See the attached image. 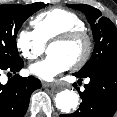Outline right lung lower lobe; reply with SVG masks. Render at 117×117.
<instances>
[{
	"mask_svg": "<svg viewBox=\"0 0 117 117\" xmlns=\"http://www.w3.org/2000/svg\"><path fill=\"white\" fill-rule=\"evenodd\" d=\"M23 65L22 59L13 63L0 64V70L15 74L5 85L0 83V117H23L32 92L41 87L39 79L32 76L23 78L16 74Z\"/></svg>",
	"mask_w": 117,
	"mask_h": 117,
	"instance_id": "1",
	"label": "right lung lower lobe"
}]
</instances>
